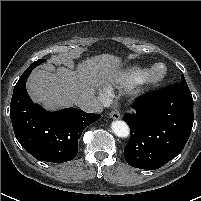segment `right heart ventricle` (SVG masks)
Segmentation results:
<instances>
[{
    "label": "right heart ventricle",
    "instance_id": "right-heart-ventricle-1",
    "mask_svg": "<svg viewBox=\"0 0 201 201\" xmlns=\"http://www.w3.org/2000/svg\"><path fill=\"white\" fill-rule=\"evenodd\" d=\"M147 70L148 69L144 68V67L132 66V67L126 69L120 75V82L122 85H125V86L137 84L144 77Z\"/></svg>",
    "mask_w": 201,
    "mask_h": 201
}]
</instances>
